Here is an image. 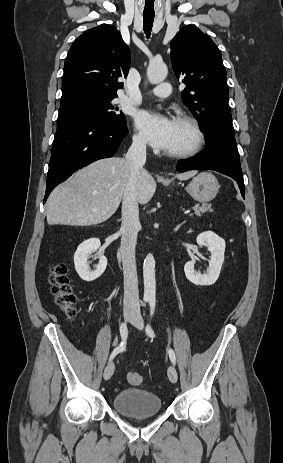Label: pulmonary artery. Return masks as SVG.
<instances>
[{
  "label": "pulmonary artery",
  "instance_id": "obj_1",
  "mask_svg": "<svg viewBox=\"0 0 283 463\" xmlns=\"http://www.w3.org/2000/svg\"><path fill=\"white\" fill-rule=\"evenodd\" d=\"M146 93L159 98H168L171 94V86L168 83H162L157 87L148 89Z\"/></svg>",
  "mask_w": 283,
  "mask_h": 463
}]
</instances>
